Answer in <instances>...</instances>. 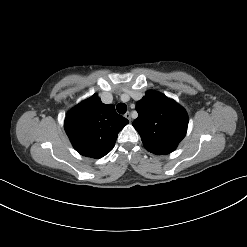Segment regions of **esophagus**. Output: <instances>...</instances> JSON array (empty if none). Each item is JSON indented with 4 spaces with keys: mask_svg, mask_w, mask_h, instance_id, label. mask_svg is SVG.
<instances>
[{
    "mask_svg": "<svg viewBox=\"0 0 247 247\" xmlns=\"http://www.w3.org/2000/svg\"><path fill=\"white\" fill-rule=\"evenodd\" d=\"M124 117L127 118L129 121H131V114H130V112H126L124 114Z\"/></svg>",
    "mask_w": 247,
    "mask_h": 247,
    "instance_id": "1",
    "label": "esophagus"
}]
</instances>
